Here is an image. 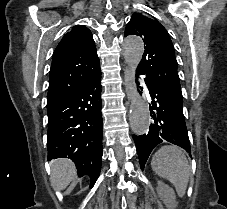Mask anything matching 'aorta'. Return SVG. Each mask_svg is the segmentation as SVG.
Masks as SVG:
<instances>
[{
    "mask_svg": "<svg viewBox=\"0 0 227 209\" xmlns=\"http://www.w3.org/2000/svg\"><path fill=\"white\" fill-rule=\"evenodd\" d=\"M124 58L134 73L142 59L144 43L140 37L129 36L123 43ZM149 111L142 97L135 93L131 105L130 126L136 135L147 132L149 127Z\"/></svg>",
    "mask_w": 227,
    "mask_h": 209,
    "instance_id": "1",
    "label": "aorta"
}]
</instances>
